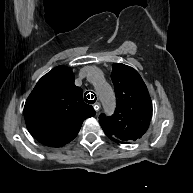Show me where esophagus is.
<instances>
[{"label": "esophagus", "mask_w": 193, "mask_h": 193, "mask_svg": "<svg viewBox=\"0 0 193 193\" xmlns=\"http://www.w3.org/2000/svg\"><path fill=\"white\" fill-rule=\"evenodd\" d=\"M91 94H93V93H90V95H91ZM93 95H94V94H93ZM93 107H94L95 111L98 112L99 109H100V103H99L98 101H96Z\"/></svg>", "instance_id": "esophagus-1"}]
</instances>
